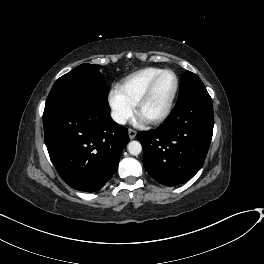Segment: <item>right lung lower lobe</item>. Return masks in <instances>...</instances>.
Returning a JSON list of instances; mask_svg holds the SVG:
<instances>
[{"label": "right lung lower lobe", "instance_id": "obj_1", "mask_svg": "<svg viewBox=\"0 0 264 264\" xmlns=\"http://www.w3.org/2000/svg\"><path fill=\"white\" fill-rule=\"evenodd\" d=\"M107 98L87 93L43 113L52 163L63 181L79 191L101 189L129 142L128 130L110 117Z\"/></svg>", "mask_w": 264, "mask_h": 264}]
</instances>
